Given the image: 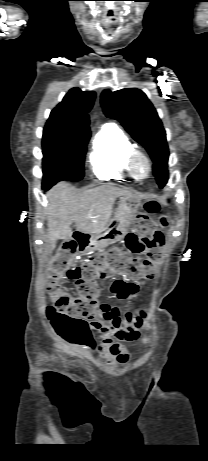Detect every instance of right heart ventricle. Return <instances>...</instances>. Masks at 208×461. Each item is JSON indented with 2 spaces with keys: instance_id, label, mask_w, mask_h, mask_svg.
<instances>
[{
  "instance_id": "obj_1",
  "label": "right heart ventricle",
  "mask_w": 208,
  "mask_h": 461,
  "mask_svg": "<svg viewBox=\"0 0 208 461\" xmlns=\"http://www.w3.org/2000/svg\"><path fill=\"white\" fill-rule=\"evenodd\" d=\"M134 145L116 125L102 127L93 142L90 164L96 177L101 180L121 179L130 173L129 157Z\"/></svg>"
}]
</instances>
